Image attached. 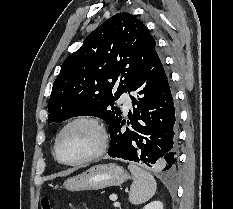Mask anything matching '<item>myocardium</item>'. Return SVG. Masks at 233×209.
Masks as SVG:
<instances>
[{
  "instance_id": "obj_1",
  "label": "myocardium",
  "mask_w": 233,
  "mask_h": 209,
  "mask_svg": "<svg viewBox=\"0 0 233 209\" xmlns=\"http://www.w3.org/2000/svg\"><path fill=\"white\" fill-rule=\"evenodd\" d=\"M78 123H87L96 129L98 133V137H99L98 146L92 153H90L89 155L83 158H80L75 161H65L59 156L60 139L62 135L64 134V132L69 127L75 124H78ZM107 146H108V134L102 121L99 118L92 116V115H81V116H77L69 120L58 132L55 138V143H54V156L56 160L63 165L78 166V165H82L90 161H93L97 159L98 157H100L106 151Z\"/></svg>"
}]
</instances>
